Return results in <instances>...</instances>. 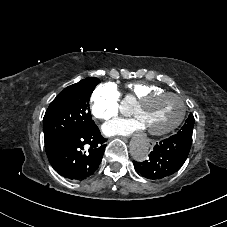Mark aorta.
<instances>
[{
	"instance_id": "obj_1",
	"label": "aorta",
	"mask_w": 227,
	"mask_h": 227,
	"mask_svg": "<svg viewBox=\"0 0 227 227\" xmlns=\"http://www.w3.org/2000/svg\"><path fill=\"white\" fill-rule=\"evenodd\" d=\"M130 153L135 161H144L148 157L149 143L144 139L133 141L130 146Z\"/></svg>"
}]
</instances>
